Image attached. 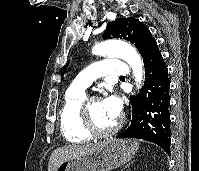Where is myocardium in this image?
<instances>
[{
    "label": "myocardium",
    "instance_id": "myocardium-1",
    "mask_svg": "<svg viewBox=\"0 0 199 171\" xmlns=\"http://www.w3.org/2000/svg\"><path fill=\"white\" fill-rule=\"evenodd\" d=\"M99 99L97 96L85 97L82 103V113L84 117V124L87 131L93 136H108L118 132L123 124V121L120 119L114 125L108 128H100L91 113L90 102L93 100Z\"/></svg>",
    "mask_w": 199,
    "mask_h": 171
}]
</instances>
